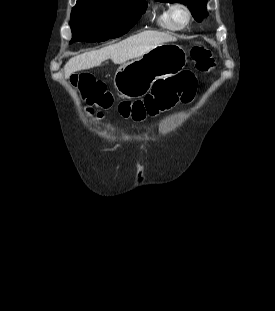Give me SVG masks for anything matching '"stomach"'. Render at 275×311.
<instances>
[{
  "label": "stomach",
  "mask_w": 275,
  "mask_h": 311,
  "mask_svg": "<svg viewBox=\"0 0 275 311\" xmlns=\"http://www.w3.org/2000/svg\"><path fill=\"white\" fill-rule=\"evenodd\" d=\"M186 63L187 53L181 46L162 44L119 66L114 76V87L125 97H142L156 79L177 75Z\"/></svg>",
  "instance_id": "obj_1"
}]
</instances>
